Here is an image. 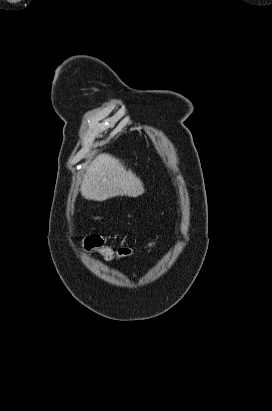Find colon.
<instances>
[{"instance_id": "colon-1", "label": "colon", "mask_w": 272, "mask_h": 411, "mask_svg": "<svg viewBox=\"0 0 272 411\" xmlns=\"http://www.w3.org/2000/svg\"><path fill=\"white\" fill-rule=\"evenodd\" d=\"M84 246L89 251L99 253L107 261H113L119 258H124L132 253L129 247L111 248L104 246L103 239L98 235H89L84 240Z\"/></svg>"}]
</instances>
